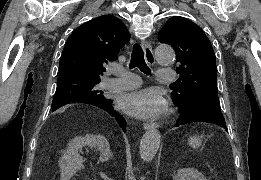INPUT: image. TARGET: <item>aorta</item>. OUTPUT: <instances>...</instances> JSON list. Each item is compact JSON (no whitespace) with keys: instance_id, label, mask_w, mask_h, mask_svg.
<instances>
[{"instance_id":"aorta-1","label":"aorta","mask_w":261,"mask_h":180,"mask_svg":"<svg viewBox=\"0 0 261 180\" xmlns=\"http://www.w3.org/2000/svg\"><path fill=\"white\" fill-rule=\"evenodd\" d=\"M155 58L160 65L166 66L172 64L175 59V53L170 46L159 45L155 51ZM160 142V132L155 128L148 130L140 141L139 151L141 159L147 162L151 161L159 149Z\"/></svg>"}]
</instances>
